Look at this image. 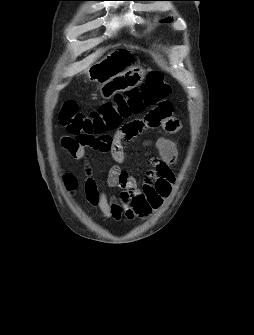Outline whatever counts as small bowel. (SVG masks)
Masks as SVG:
<instances>
[{
    "instance_id": "small-bowel-1",
    "label": "small bowel",
    "mask_w": 254,
    "mask_h": 335,
    "mask_svg": "<svg viewBox=\"0 0 254 335\" xmlns=\"http://www.w3.org/2000/svg\"><path fill=\"white\" fill-rule=\"evenodd\" d=\"M172 109L169 99L163 98L162 104H155L154 108H149L144 118L126 120L125 124L118 125V131L115 132L109 150L115 164L109 168L102 179L108 186L122 189L119 197H111L99 188L93 168L86 165L84 195L91 205L99 207L103 218L115 220L145 218L153 210L158 209L169 196L175 182L173 166L178 158L176 143L163 137L148 142L156 149L158 155L149 159L150 170L147 172L145 182L140 186L123 167L125 153L122 142L134 138L143 131L157 130L158 134L177 135L181 124L177 119H172ZM60 142L73 158H86L87 146L77 137L64 136ZM65 186L69 191L75 190L76 178L71 174L66 175Z\"/></svg>"
}]
</instances>
